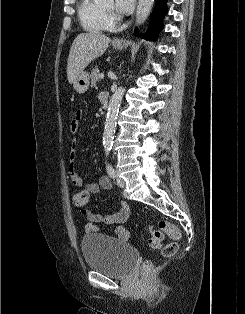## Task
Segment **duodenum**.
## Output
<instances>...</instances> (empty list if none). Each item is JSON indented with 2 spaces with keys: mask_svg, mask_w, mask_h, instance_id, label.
<instances>
[{
  "mask_svg": "<svg viewBox=\"0 0 245 314\" xmlns=\"http://www.w3.org/2000/svg\"><path fill=\"white\" fill-rule=\"evenodd\" d=\"M109 97L107 94L103 93L100 95V101L105 108H108Z\"/></svg>",
  "mask_w": 245,
  "mask_h": 314,
  "instance_id": "obj_1",
  "label": "duodenum"
}]
</instances>
